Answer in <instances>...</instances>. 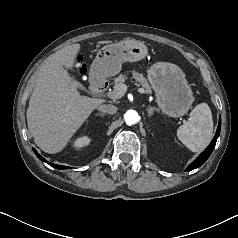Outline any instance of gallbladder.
I'll return each mask as SVG.
<instances>
[{"label": "gallbladder", "instance_id": "gallbladder-1", "mask_svg": "<svg viewBox=\"0 0 238 238\" xmlns=\"http://www.w3.org/2000/svg\"><path fill=\"white\" fill-rule=\"evenodd\" d=\"M77 87H80V84L77 82Z\"/></svg>", "mask_w": 238, "mask_h": 238}]
</instances>
